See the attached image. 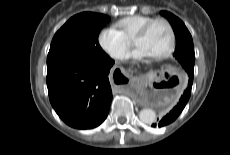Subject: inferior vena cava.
Returning a JSON list of instances; mask_svg holds the SVG:
<instances>
[{"label":"inferior vena cava","mask_w":230,"mask_h":155,"mask_svg":"<svg viewBox=\"0 0 230 155\" xmlns=\"http://www.w3.org/2000/svg\"><path fill=\"white\" fill-rule=\"evenodd\" d=\"M122 55H123L122 52H117V53L115 54V57H116V58H119V57H121Z\"/></svg>","instance_id":"inferior-vena-cava-1"}]
</instances>
